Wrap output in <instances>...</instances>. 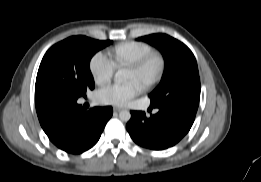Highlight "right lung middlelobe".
<instances>
[{
    "label": "right lung middle lobe",
    "mask_w": 261,
    "mask_h": 182,
    "mask_svg": "<svg viewBox=\"0 0 261 182\" xmlns=\"http://www.w3.org/2000/svg\"><path fill=\"white\" fill-rule=\"evenodd\" d=\"M112 41L72 36L53 45L44 55L36 78L35 105L55 99L77 101L95 87L89 63Z\"/></svg>",
    "instance_id": "1"
}]
</instances>
